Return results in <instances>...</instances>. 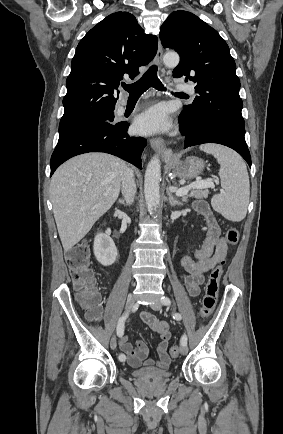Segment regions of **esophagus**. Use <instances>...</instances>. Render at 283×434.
Returning <instances> with one entry per match:
<instances>
[{
    "label": "esophagus",
    "instance_id": "obj_1",
    "mask_svg": "<svg viewBox=\"0 0 283 434\" xmlns=\"http://www.w3.org/2000/svg\"><path fill=\"white\" fill-rule=\"evenodd\" d=\"M162 56H163V49H162V45L159 41L158 42V50H157V54H156V58H155L156 63L159 65H161V63H162ZM150 145L154 150L159 151L162 154V157L164 160H169L173 157L172 150L166 148L163 138H161V137L152 138L150 140Z\"/></svg>",
    "mask_w": 283,
    "mask_h": 434
}]
</instances>
